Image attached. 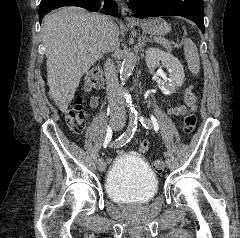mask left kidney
<instances>
[{"label":"left kidney","instance_id":"left-kidney-1","mask_svg":"<svg viewBox=\"0 0 240 238\" xmlns=\"http://www.w3.org/2000/svg\"><path fill=\"white\" fill-rule=\"evenodd\" d=\"M145 61L149 69H154L161 61L164 68L169 72L168 84L157 78V85L164 94H170L177 87L183 85L184 69L181 62L169 52L150 47L146 51Z\"/></svg>","mask_w":240,"mask_h":238}]
</instances>
